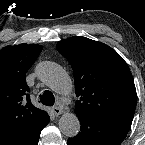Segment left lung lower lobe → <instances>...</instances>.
<instances>
[{"instance_id":"0a47b994","label":"left lung lower lobe","mask_w":145,"mask_h":145,"mask_svg":"<svg viewBox=\"0 0 145 145\" xmlns=\"http://www.w3.org/2000/svg\"><path fill=\"white\" fill-rule=\"evenodd\" d=\"M81 132L67 141L68 145H120L133 118L99 117L77 114Z\"/></svg>"}]
</instances>
